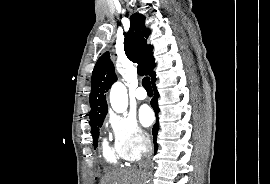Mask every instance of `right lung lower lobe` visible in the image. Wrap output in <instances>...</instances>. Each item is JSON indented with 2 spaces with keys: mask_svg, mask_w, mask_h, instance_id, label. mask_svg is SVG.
<instances>
[{
  "mask_svg": "<svg viewBox=\"0 0 270 184\" xmlns=\"http://www.w3.org/2000/svg\"><path fill=\"white\" fill-rule=\"evenodd\" d=\"M155 81H156V76L154 77V79H152V85H153V89H154V98L151 100V106L153 107L155 114H156V117L158 118L159 107H158L157 99L159 97V93L157 92V89L155 86ZM158 127H159V124H158V120H157L156 123L154 124L153 129H152L155 152L157 151L156 137H157Z\"/></svg>",
  "mask_w": 270,
  "mask_h": 184,
  "instance_id": "right-lung-lower-lobe-1",
  "label": "right lung lower lobe"
}]
</instances>
